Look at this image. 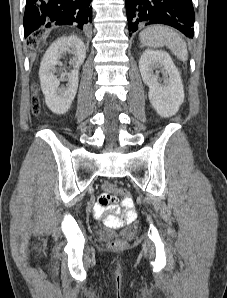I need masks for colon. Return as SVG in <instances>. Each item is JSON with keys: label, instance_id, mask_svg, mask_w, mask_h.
Here are the masks:
<instances>
[{"label": "colon", "instance_id": "1", "mask_svg": "<svg viewBox=\"0 0 227 298\" xmlns=\"http://www.w3.org/2000/svg\"><path fill=\"white\" fill-rule=\"evenodd\" d=\"M35 42L36 41L33 38L28 40V44L30 46H34ZM31 106H32L33 113L38 114L40 111V101L36 95H34L32 97ZM103 188H104L105 192L103 194H101V196L98 199V202H99L101 208L105 211V219H104L105 224L108 227H112V228L118 227L124 222V220H121L120 218H118L115 215L116 207L111 204V201L113 200L112 194L123 195L124 206L126 208L133 207V200H132L131 196L128 194V192L116 187L112 183H105ZM108 246L113 250H122L126 247V242L123 241L122 239H113L108 243Z\"/></svg>", "mask_w": 227, "mask_h": 298}]
</instances>
